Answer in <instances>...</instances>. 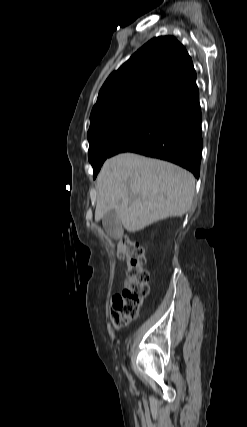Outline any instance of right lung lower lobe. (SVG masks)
<instances>
[{"mask_svg": "<svg viewBox=\"0 0 247 427\" xmlns=\"http://www.w3.org/2000/svg\"><path fill=\"white\" fill-rule=\"evenodd\" d=\"M196 84L169 97L112 152H135L200 173L203 140Z\"/></svg>", "mask_w": 247, "mask_h": 427, "instance_id": "1", "label": "right lung lower lobe"}]
</instances>
